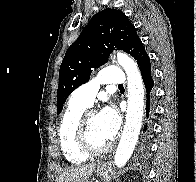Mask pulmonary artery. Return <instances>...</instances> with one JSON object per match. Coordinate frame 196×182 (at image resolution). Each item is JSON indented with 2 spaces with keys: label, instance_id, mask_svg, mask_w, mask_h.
Listing matches in <instances>:
<instances>
[{
  "label": "pulmonary artery",
  "instance_id": "e3ab8cb5",
  "mask_svg": "<svg viewBox=\"0 0 196 182\" xmlns=\"http://www.w3.org/2000/svg\"><path fill=\"white\" fill-rule=\"evenodd\" d=\"M126 77L118 67L105 68L95 79L81 85L72 94L73 100L91 106L99 90L100 85H124Z\"/></svg>",
  "mask_w": 196,
  "mask_h": 182
}]
</instances>
